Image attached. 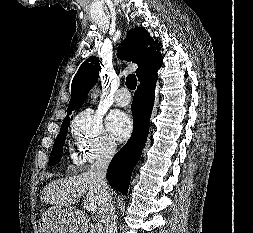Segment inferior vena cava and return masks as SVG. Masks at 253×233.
I'll return each instance as SVG.
<instances>
[{
	"instance_id": "obj_1",
	"label": "inferior vena cava",
	"mask_w": 253,
	"mask_h": 233,
	"mask_svg": "<svg viewBox=\"0 0 253 233\" xmlns=\"http://www.w3.org/2000/svg\"><path fill=\"white\" fill-rule=\"evenodd\" d=\"M116 152V145L107 141L102 146L101 152L96 161L90 166L88 172L96 178L100 187L99 213L105 227V233H116V217L112 203V196L106 180L108 165Z\"/></svg>"
}]
</instances>
